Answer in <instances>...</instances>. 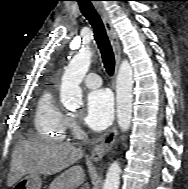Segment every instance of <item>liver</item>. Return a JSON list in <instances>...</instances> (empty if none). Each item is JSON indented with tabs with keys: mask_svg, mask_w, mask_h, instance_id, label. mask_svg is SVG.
Listing matches in <instances>:
<instances>
[{
	"mask_svg": "<svg viewBox=\"0 0 188 189\" xmlns=\"http://www.w3.org/2000/svg\"><path fill=\"white\" fill-rule=\"evenodd\" d=\"M83 152L71 144L56 142H21L12 154L7 185L13 186L26 174L53 175L65 169L59 182L60 189H75L85 181V172L79 165Z\"/></svg>",
	"mask_w": 188,
	"mask_h": 189,
	"instance_id": "1",
	"label": "liver"
}]
</instances>
